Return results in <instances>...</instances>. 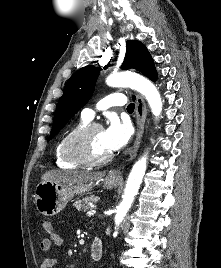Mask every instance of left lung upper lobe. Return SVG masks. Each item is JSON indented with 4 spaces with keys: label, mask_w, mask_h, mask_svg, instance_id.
Returning a JSON list of instances; mask_svg holds the SVG:
<instances>
[{
    "label": "left lung upper lobe",
    "mask_w": 221,
    "mask_h": 268,
    "mask_svg": "<svg viewBox=\"0 0 221 268\" xmlns=\"http://www.w3.org/2000/svg\"><path fill=\"white\" fill-rule=\"evenodd\" d=\"M106 65L104 68H107ZM123 69H136L153 81L157 80L154 61L147 48L137 40L127 41ZM100 69L92 65L75 72L67 81L64 92L58 101L53 121L52 139L91 98Z\"/></svg>",
    "instance_id": "left-lung-upper-lobe-1"
}]
</instances>
